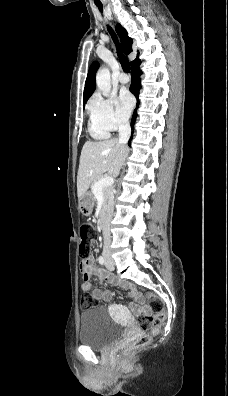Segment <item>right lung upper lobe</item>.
I'll use <instances>...</instances> for the list:
<instances>
[{
  "instance_id": "cb5924a9",
  "label": "right lung upper lobe",
  "mask_w": 228,
  "mask_h": 396,
  "mask_svg": "<svg viewBox=\"0 0 228 396\" xmlns=\"http://www.w3.org/2000/svg\"><path fill=\"white\" fill-rule=\"evenodd\" d=\"M116 31L120 37L125 53L129 54L130 52H132V43H133L132 39L128 37L127 31L120 24L116 25ZM138 60L139 59L137 58L134 61H132L131 65L135 64ZM98 67L99 64L97 62H94L88 71V75L85 82L84 94H83L84 103H86V101L89 99V97L92 95V93L95 90L96 87L95 73Z\"/></svg>"
}]
</instances>
